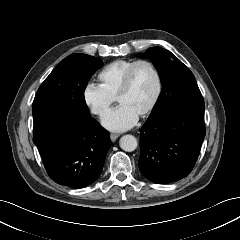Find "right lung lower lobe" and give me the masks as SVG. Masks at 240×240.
Instances as JSON below:
<instances>
[{
    "instance_id": "right-lung-lower-lobe-1",
    "label": "right lung lower lobe",
    "mask_w": 240,
    "mask_h": 240,
    "mask_svg": "<svg viewBox=\"0 0 240 240\" xmlns=\"http://www.w3.org/2000/svg\"><path fill=\"white\" fill-rule=\"evenodd\" d=\"M32 114L33 142L50 178L71 188L95 182L112 144L109 133L78 110L38 107Z\"/></svg>"
}]
</instances>
